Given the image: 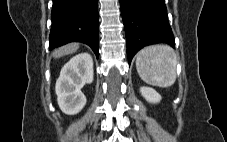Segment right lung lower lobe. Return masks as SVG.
<instances>
[{
    "label": "right lung lower lobe",
    "mask_w": 227,
    "mask_h": 142,
    "mask_svg": "<svg viewBox=\"0 0 227 142\" xmlns=\"http://www.w3.org/2000/svg\"><path fill=\"white\" fill-rule=\"evenodd\" d=\"M51 20L50 50L69 42H83L98 58V0H53Z\"/></svg>",
    "instance_id": "98d812e1"
}]
</instances>
